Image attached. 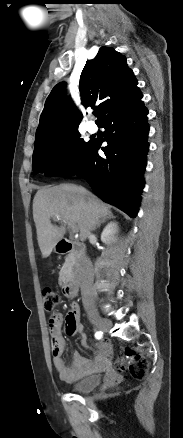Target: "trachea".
<instances>
[{"instance_id":"trachea-1","label":"trachea","mask_w":183,"mask_h":438,"mask_svg":"<svg viewBox=\"0 0 183 438\" xmlns=\"http://www.w3.org/2000/svg\"><path fill=\"white\" fill-rule=\"evenodd\" d=\"M93 115L96 116V115H97V112H93Z\"/></svg>"}]
</instances>
